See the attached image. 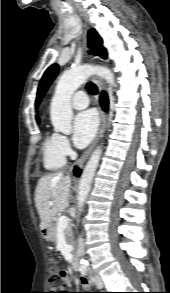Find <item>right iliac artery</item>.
<instances>
[{"instance_id":"1","label":"right iliac artery","mask_w":170,"mask_h":293,"mask_svg":"<svg viewBox=\"0 0 170 293\" xmlns=\"http://www.w3.org/2000/svg\"><path fill=\"white\" fill-rule=\"evenodd\" d=\"M80 272H81L82 275H86L87 269L86 268H82V269H80Z\"/></svg>"}]
</instances>
